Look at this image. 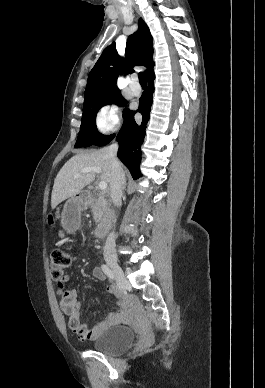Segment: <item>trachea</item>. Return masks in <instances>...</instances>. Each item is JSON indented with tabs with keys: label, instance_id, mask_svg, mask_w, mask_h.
Here are the masks:
<instances>
[{
	"label": "trachea",
	"instance_id": "1",
	"mask_svg": "<svg viewBox=\"0 0 265 388\" xmlns=\"http://www.w3.org/2000/svg\"><path fill=\"white\" fill-rule=\"evenodd\" d=\"M138 75H139L140 84L147 85V77H146L145 73L140 72Z\"/></svg>",
	"mask_w": 265,
	"mask_h": 388
}]
</instances>
